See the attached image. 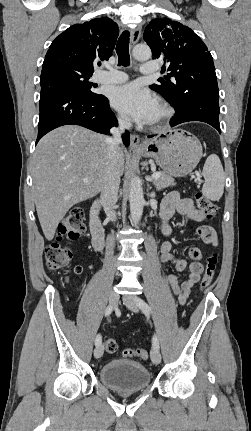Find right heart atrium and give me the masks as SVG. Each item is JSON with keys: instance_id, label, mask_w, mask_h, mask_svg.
Returning a JSON list of instances; mask_svg holds the SVG:
<instances>
[{"instance_id": "d8ad5b80", "label": "right heart atrium", "mask_w": 251, "mask_h": 431, "mask_svg": "<svg viewBox=\"0 0 251 431\" xmlns=\"http://www.w3.org/2000/svg\"><path fill=\"white\" fill-rule=\"evenodd\" d=\"M118 122L122 125V126H126L127 125V121L125 120V118L118 116Z\"/></svg>"}]
</instances>
